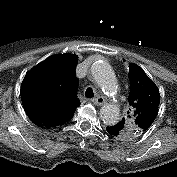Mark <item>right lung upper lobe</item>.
Listing matches in <instances>:
<instances>
[{
    "mask_svg": "<svg viewBox=\"0 0 177 177\" xmlns=\"http://www.w3.org/2000/svg\"><path fill=\"white\" fill-rule=\"evenodd\" d=\"M77 58L70 53L53 55L26 73L21 100L31 121L51 128L72 119L80 105Z\"/></svg>",
    "mask_w": 177,
    "mask_h": 177,
    "instance_id": "cb5924a9",
    "label": "right lung upper lobe"
}]
</instances>
